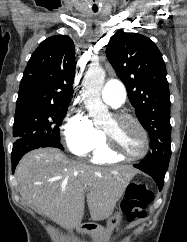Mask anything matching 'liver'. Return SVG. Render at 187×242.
Segmentation results:
<instances>
[{
	"label": "liver",
	"mask_w": 187,
	"mask_h": 242,
	"mask_svg": "<svg viewBox=\"0 0 187 242\" xmlns=\"http://www.w3.org/2000/svg\"><path fill=\"white\" fill-rule=\"evenodd\" d=\"M138 171L128 166L97 168L54 148L26 154L16 169L22 200L61 226L79 227L85 193L93 221L109 218Z\"/></svg>",
	"instance_id": "obj_1"
}]
</instances>
